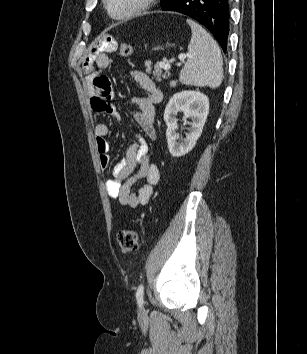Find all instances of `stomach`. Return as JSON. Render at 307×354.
Instances as JSON below:
<instances>
[{"instance_id": "stomach-1", "label": "stomach", "mask_w": 307, "mask_h": 354, "mask_svg": "<svg viewBox=\"0 0 307 354\" xmlns=\"http://www.w3.org/2000/svg\"><path fill=\"white\" fill-rule=\"evenodd\" d=\"M166 46H170V44L167 43ZM160 49H162V47H160V46H157V47L155 48V50H160Z\"/></svg>"}]
</instances>
